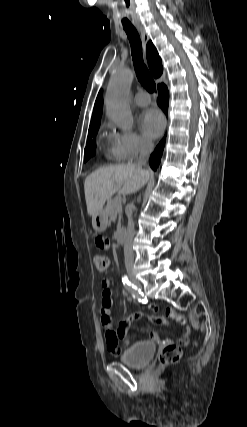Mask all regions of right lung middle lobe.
Returning a JSON list of instances; mask_svg holds the SVG:
<instances>
[{"label": "right lung middle lobe", "instance_id": "1", "mask_svg": "<svg viewBox=\"0 0 247 427\" xmlns=\"http://www.w3.org/2000/svg\"><path fill=\"white\" fill-rule=\"evenodd\" d=\"M100 125L89 128V137L87 138V145L84 150V161L86 162L89 158H91L96 151V141L95 136L98 132V128ZM92 138H94L92 140Z\"/></svg>", "mask_w": 247, "mask_h": 427}]
</instances>
